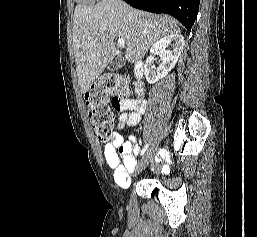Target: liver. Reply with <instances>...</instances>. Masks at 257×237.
<instances>
[{
	"label": "liver",
	"mask_w": 257,
	"mask_h": 237,
	"mask_svg": "<svg viewBox=\"0 0 257 237\" xmlns=\"http://www.w3.org/2000/svg\"><path fill=\"white\" fill-rule=\"evenodd\" d=\"M72 31L76 72L85 93L116 56L115 39L125 41V59L135 63L156 41L180 28L170 16L139 11L121 0H101L75 7Z\"/></svg>",
	"instance_id": "liver-1"
}]
</instances>
